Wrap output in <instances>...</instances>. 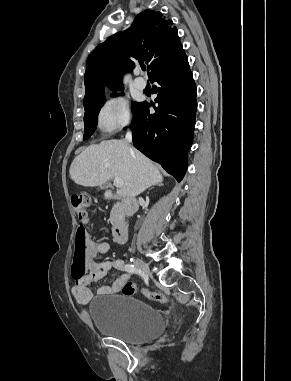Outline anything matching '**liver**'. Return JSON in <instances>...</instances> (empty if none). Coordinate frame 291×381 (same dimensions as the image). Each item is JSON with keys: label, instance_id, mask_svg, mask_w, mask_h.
<instances>
[{"label": "liver", "instance_id": "6515ba94", "mask_svg": "<svg viewBox=\"0 0 291 381\" xmlns=\"http://www.w3.org/2000/svg\"><path fill=\"white\" fill-rule=\"evenodd\" d=\"M70 178L78 185L95 187L113 178H121L117 191L133 198L163 180L159 169L125 140H107L87 147L70 166Z\"/></svg>", "mask_w": 291, "mask_h": 381}]
</instances>
